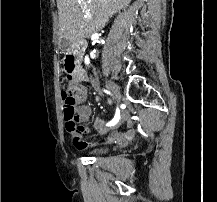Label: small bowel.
Returning <instances> with one entry per match:
<instances>
[{"mask_svg": "<svg viewBox=\"0 0 217 202\" xmlns=\"http://www.w3.org/2000/svg\"><path fill=\"white\" fill-rule=\"evenodd\" d=\"M74 89V101L77 103L76 106V113H77V119L79 121H85L89 119L92 116V107L89 105H82L80 104L86 95L85 88L80 84H70L68 85V90ZM123 118H128V114L123 115ZM83 131H72V136L74 137L75 141H82L83 137L86 136V134L89 133V129L86 127H82ZM135 138V133L132 131H122L121 130V123H117L113 131L108 134L101 136L99 138H95L86 142H73V147H90L97 145L102 142H108V143H117L119 145H126L128 142L133 140Z\"/></svg>", "mask_w": 217, "mask_h": 202, "instance_id": "1", "label": "small bowel"}]
</instances>
